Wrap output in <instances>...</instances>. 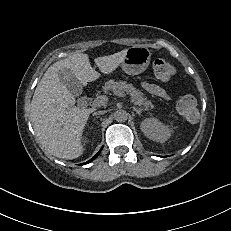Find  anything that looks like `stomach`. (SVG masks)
Returning <instances> with one entry per match:
<instances>
[{"label": "stomach", "mask_w": 231, "mask_h": 231, "mask_svg": "<svg viewBox=\"0 0 231 231\" xmlns=\"http://www.w3.org/2000/svg\"><path fill=\"white\" fill-rule=\"evenodd\" d=\"M151 51L145 46H133L127 49L121 63L122 70L128 75H138L144 72L150 64Z\"/></svg>", "instance_id": "obj_1"}]
</instances>
